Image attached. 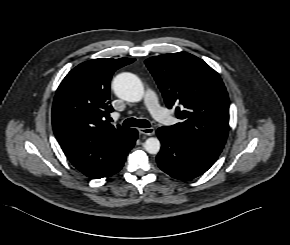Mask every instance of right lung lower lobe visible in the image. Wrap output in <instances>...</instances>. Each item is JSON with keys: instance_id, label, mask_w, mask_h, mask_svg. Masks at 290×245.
Segmentation results:
<instances>
[{"instance_id": "obj_1", "label": "right lung lower lobe", "mask_w": 290, "mask_h": 245, "mask_svg": "<svg viewBox=\"0 0 290 245\" xmlns=\"http://www.w3.org/2000/svg\"><path fill=\"white\" fill-rule=\"evenodd\" d=\"M136 139H137V130L134 129V135H133V141H132L131 148L134 146ZM126 155L113 169H111L109 172H107L106 174H104L98 178L108 177V176H111V175L117 173L122 168L124 161H125V158H126Z\"/></svg>"}]
</instances>
